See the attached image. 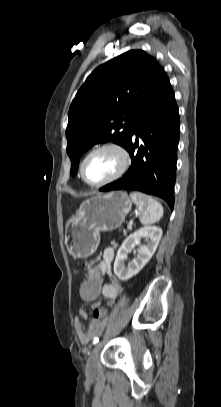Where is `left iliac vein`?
I'll return each instance as SVG.
<instances>
[{
    "label": "left iliac vein",
    "instance_id": "left-iliac-vein-1",
    "mask_svg": "<svg viewBox=\"0 0 221 407\" xmlns=\"http://www.w3.org/2000/svg\"><path fill=\"white\" fill-rule=\"evenodd\" d=\"M102 345L96 344L89 353V357L86 364V377L91 379L95 376L97 370V359L100 353Z\"/></svg>",
    "mask_w": 221,
    "mask_h": 407
}]
</instances>
